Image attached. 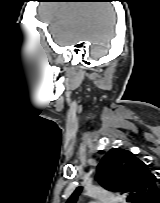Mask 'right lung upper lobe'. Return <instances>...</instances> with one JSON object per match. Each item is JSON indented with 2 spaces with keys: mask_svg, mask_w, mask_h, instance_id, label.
I'll list each match as a JSON object with an SVG mask.
<instances>
[{
  "mask_svg": "<svg viewBox=\"0 0 160 203\" xmlns=\"http://www.w3.org/2000/svg\"><path fill=\"white\" fill-rule=\"evenodd\" d=\"M96 177L105 189L128 193L132 203H146L160 191V179L150 172L149 165L125 149L108 151L97 166ZM81 190L78 187L67 203H76Z\"/></svg>",
  "mask_w": 160,
  "mask_h": 203,
  "instance_id": "1",
  "label": "right lung upper lobe"
}]
</instances>
